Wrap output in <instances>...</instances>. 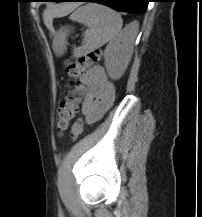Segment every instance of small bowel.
Masks as SVG:
<instances>
[{
	"label": "small bowel",
	"mask_w": 202,
	"mask_h": 217,
	"mask_svg": "<svg viewBox=\"0 0 202 217\" xmlns=\"http://www.w3.org/2000/svg\"><path fill=\"white\" fill-rule=\"evenodd\" d=\"M80 93L81 111L88 123L99 120L114 100V84L102 66L89 68L76 89Z\"/></svg>",
	"instance_id": "obj_1"
}]
</instances>
